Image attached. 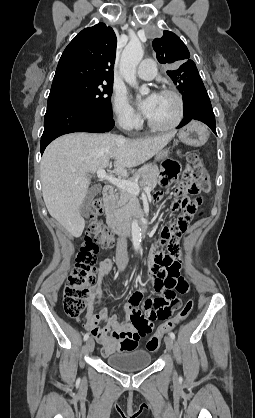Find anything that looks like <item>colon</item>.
<instances>
[{"instance_id":"obj_1","label":"colon","mask_w":255,"mask_h":418,"mask_svg":"<svg viewBox=\"0 0 255 418\" xmlns=\"http://www.w3.org/2000/svg\"><path fill=\"white\" fill-rule=\"evenodd\" d=\"M184 184L182 185V194H198L200 192H209L211 190L210 176L204 172L200 160L196 156L188 158V164L183 171ZM201 203L200 198L189 199L182 196L175 204L176 213H181L180 220L189 221L196 213ZM103 212V202L100 198L94 199L89 205L87 218V235L81 244L75 258L74 267L68 277L63 291V304L68 316L80 319L87 306V301L91 295L98 273L97 254L100 249H108L113 245V236L102 223L98 220ZM177 224L172 228H176ZM180 269V267H179ZM188 284V283H187ZM194 306L192 299L183 304L177 315L165 323L148 340L147 350L154 352L159 348L162 336L170 329L183 322L191 313ZM88 321V317L86 322Z\"/></svg>"}]
</instances>
